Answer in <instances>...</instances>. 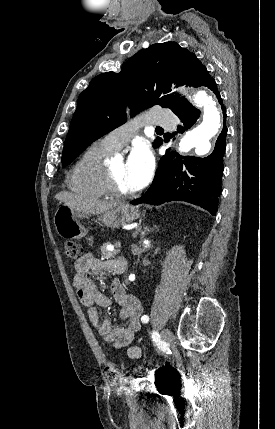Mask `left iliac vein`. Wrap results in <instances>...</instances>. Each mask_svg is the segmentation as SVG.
Wrapping results in <instances>:
<instances>
[{
  "instance_id": "left-iliac-vein-1",
  "label": "left iliac vein",
  "mask_w": 275,
  "mask_h": 429,
  "mask_svg": "<svg viewBox=\"0 0 275 429\" xmlns=\"http://www.w3.org/2000/svg\"><path fill=\"white\" fill-rule=\"evenodd\" d=\"M161 340L164 347H169V345L173 342V334L168 328H164L161 331Z\"/></svg>"
}]
</instances>
